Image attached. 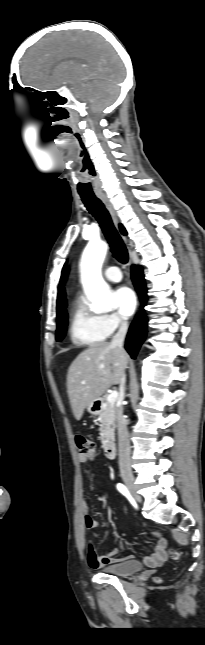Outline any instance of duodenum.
Instances as JSON below:
<instances>
[{
    "label": "duodenum",
    "mask_w": 205,
    "mask_h": 645,
    "mask_svg": "<svg viewBox=\"0 0 205 645\" xmlns=\"http://www.w3.org/2000/svg\"><path fill=\"white\" fill-rule=\"evenodd\" d=\"M104 453L108 459H114L117 454V447L115 442L108 441L104 445Z\"/></svg>",
    "instance_id": "duodenum-1"
}]
</instances>
